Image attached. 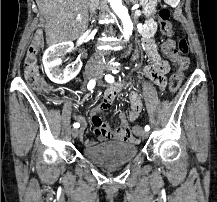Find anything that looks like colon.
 Listing matches in <instances>:
<instances>
[{
	"instance_id": "1",
	"label": "colon",
	"mask_w": 217,
	"mask_h": 202,
	"mask_svg": "<svg viewBox=\"0 0 217 202\" xmlns=\"http://www.w3.org/2000/svg\"><path fill=\"white\" fill-rule=\"evenodd\" d=\"M158 18H159V24H160V30L163 36H169L172 33V26L170 23L171 19V10L167 7H162L158 11ZM42 34L39 32H36L34 40L29 41V48L26 52L25 58H24V75L26 81L34 85L35 91H51V86H46L42 79L41 75L39 73L38 69V54L39 50L42 45ZM165 45L168 48L170 52H174V62L176 63V69L175 70H186L189 67L190 61L188 58L189 53V43L184 38H179L178 40H166ZM154 72L158 73V69L154 68ZM179 73V72H178ZM178 73H172L170 77V84H169V91L171 93H176L182 83V77L178 76ZM46 98H52V103H57L58 99L53 98V93H46ZM133 132H138V127L132 128Z\"/></svg>"
}]
</instances>
